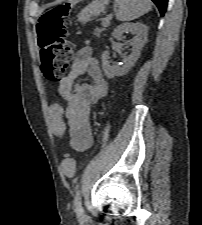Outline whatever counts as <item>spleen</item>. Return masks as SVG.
I'll use <instances>...</instances> for the list:
<instances>
[{
    "label": "spleen",
    "instance_id": "3e777b00",
    "mask_svg": "<svg viewBox=\"0 0 202 225\" xmlns=\"http://www.w3.org/2000/svg\"><path fill=\"white\" fill-rule=\"evenodd\" d=\"M118 7L116 18L119 21L134 20L152 9L150 0H115Z\"/></svg>",
    "mask_w": 202,
    "mask_h": 225
}]
</instances>
